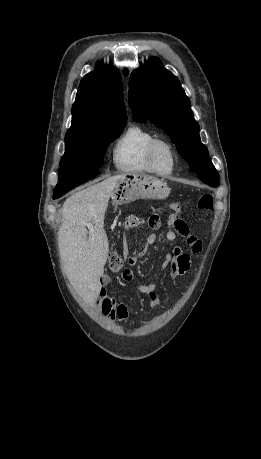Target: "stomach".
I'll list each match as a JSON object with an SVG mask.
<instances>
[{
  "label": "stomach",
  "instance_id": "obj_1",
  "mask_svg": "<svg viewBox=\"0 0 261 459\" xmlns=\"http://www.w3.org/2000/svg\"><path fill=\"white\" fill-rule=\"evenodd\" d=\"M170 193L166 183L146 174L125 175L112 193L115 204L130 203L135 199H165Z\"/></svg>",
  "mask_w": 261,
  "mask_h": 459
}]
</instances>
